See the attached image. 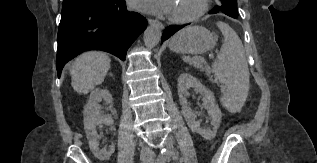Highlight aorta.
Segmentation results:
<instances>
[{"instance_id":"762f6f07","label":"aorta","mask_w":317,"mask_h":163,"mask_svg":"<svg viewBox=\"0 0 317 163\" xmlns=\"http://www.w3.org/2000/svg\"><path fill=\"white\" fill-rule=\"evenodd\" d=\"M162 31L158 23L151 24L144 32L143 40L147 48H154L161 40Z\"/></svg>"}]
</instances>
